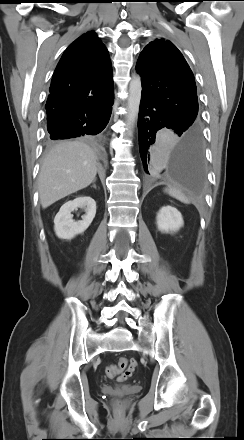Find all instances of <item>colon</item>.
<instances>
[{"label":"colon","instance_id":"colon-1","mask_svg":"<svg viewBox=\"0 0 244 440\" xmlns=\"http://www.w3.org/2000/svg\"><path fill=\"white\" fill-rule=\"evenodd\" d=\"M136 367V359L121 358L117 364L110 365L106 368V374L109 378L117 377L119 381H125L132 375Z\"/></svg>","mask_w":244,"mask_h":440}]
</instances>
